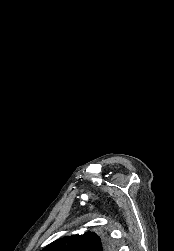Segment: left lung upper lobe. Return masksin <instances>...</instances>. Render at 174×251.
<instances>
[{
  "instance_id": "left-lung-upper-lobe-1",
  "label": "left lung upper lobe",
  "mask_w": 174,
  "mask_h": 251,
  "mask_svg": "<svg viewBox=\"0 0 174 251\" xmlns=\"http://www.w3.org/2000/svg\"><path fill=\"white\" fill-rule=\"evenodd\" d=\"M112 245L105 235L86 232L83 235L65 236L42 251H110Z\"/></svg>"
}]
</instances>
